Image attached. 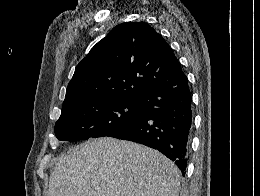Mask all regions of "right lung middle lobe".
<instances>
[{
  "instance_id": "obj_1",
  "label": "right lung middle lobe",
  "mask_w": 260,
  "mask_h": 196,
  "mask_svg": "<svg viewBox=\"0 0 260 196\" xmlns=\"http://www.w3.org/2000/svg\"><path fill=\"white\" fill-rule=\"evenodd\" d=\"M143 118L138 99L127 95H103L62 108L54 131L58 140L76 142L109 137Z\"/></svg>"
}]
</instances>
